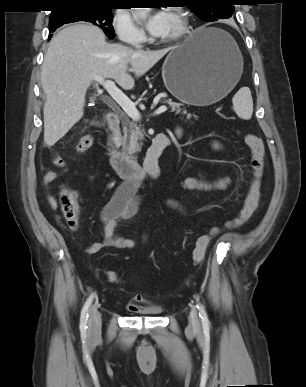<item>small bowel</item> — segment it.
Returning <instances> with one entry per match:
<instances>
[{
    "mask_svg": "<svg viewBox=\"0 0 306 387\" xmlns=\"http://www.w3.org/2000/svg\"><path fill=\"white\" fill-rule=\"evenodd\" d=\"M181 129H176V135L180 136ZM214 149H219L217 142L212 143ZM52 163L58 170H47L43 176V183L49 186L51 183L58 180L67 171L66 161L54 150L51 152ZM229 184V178L223 177L214 182L201 181L194 177H187L181 182V187L188 190H221L225 189ZM137 183L127 182L122 184L113 197L104 205L100 212V221L102 223V240L89 244L85 251L89 254H95L105 248H117L124 250H132L137 246V242L131 238L120 236L116 233L117 226L124 220L133 217L139 206V199L137 196ZM47 201L51 208L56 207L55 199L47 195ZM168 206L180 213L185 214L183 206L176 199H169ZM60 224L59 218H57ZM147 236H143V241ZM142 302L140 297H136L133 302L128 305L130 311L137 310Z\"/></svg>",
    "mask_w": 306,
    "mask_h": 387,
    "instance_id": "c3829d8e",
    "label": "small bowel"
}]
</instances>
